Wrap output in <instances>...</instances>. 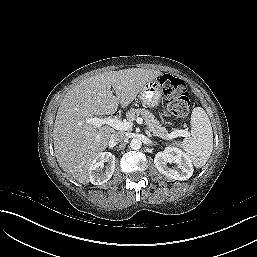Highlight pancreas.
Returning <instances> with one entry per match:
<instances>
[{
    "label": "pancreas",
    "instance_id": "cf45deb5",
    "mask_svg": "<svg viewBox=\"0 0 257 257\" xmlns=\"http://www.w3.org/2000/svg\"><path fill=\"white\" fill-rule=\"evenodd\" d=\"M127 119L129 121L135 120L137 117H141L148 129L153 133L154 136L160 137L162 139H171L168 137L167 130L163 127L158 120L155 119L154 115L144 108L134 109L131 108L127 114Z\"/></svg>",
    "mask_w": 257,
    "mask_h": 257
}]
</instances>
